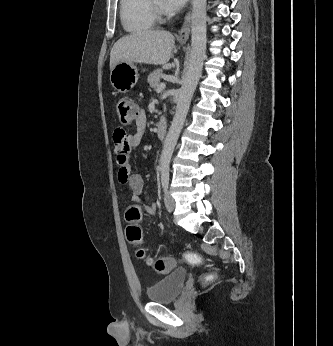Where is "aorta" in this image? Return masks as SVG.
I'll return each instance as SVG.
<instances>
[{"label":"aorta","mask_w":333,"mask_h":346,"mask_svg":"<svg viewBox=\"0 0 333 346\" xmlns=\"http://www.w3.org/2000/svg\"><path fill=\"white\" fill-rule=\"evenodd\" d=\"M206 5L207 0H193L191 25V57L188 71L179 92L176 112L164 141L160 167L167 169L183 128L193 93L201 76L206 53Z\"/></svg>","instance_id":"obj_1"}]
</instances>
